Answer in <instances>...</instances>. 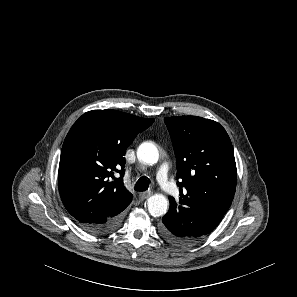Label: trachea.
I'll list each match as a JSON object with an SVG mask.
<instances>
[{
    "instance_id": "3493384b",
    "label": "trachea",
    "mask_w": 297,
    "mask_h": 297,
    "mask_svg": "<svg viewBox=\"0 0 297 297\" xmlns=\"http://www.w3.org/2000/svg\"><path fill=\"white\" fill-rule=\"evenodd\" d=\"M149 187V180L146 177H141L135 184L136 191H146Z\"/></svg>"
}]
</instances>
